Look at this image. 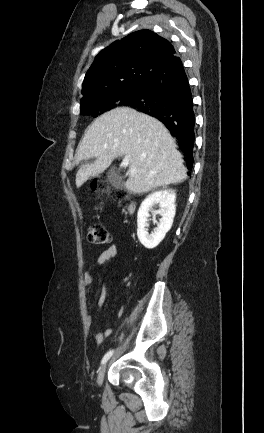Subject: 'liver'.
Listing matches in <instances>:
<instances>
[{
    "label": "liver",
    "mask_w": 264,
    "mask_h": 433,
    "mask_svg": "<svg viewBox=\"0 0 264 433\" xmlns=\"http://www.w3.org/2000/svg\"><path fill=\"white\" fill-rule=\"evenodd\" d=\"M77 161L96 158L82 165L76 186L103 173L116 157L128 156L130 174L127 190L143 194L157 187L176 184L187 178L182 155L174 139L157 119L128 107L112 109L95 119L77 148Z\"/></svg>",
    "instance_id": "liver-1"
}]
</instances>
